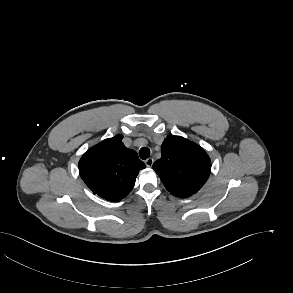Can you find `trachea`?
Returning a JSON list of instances; mask_svg holds the SVG:
<instances>
[{
	"mask_svg": "<svg viewBox=\"0 0 293 293\" xmlns=\"http://www.w3.org/2000/svg\"><path fill=\"white\" fill-rule=\"evenodd\" d=\"M139 156L141 159L145 160L150 156V150L147 147H143L139 151Z\"/></svg>",
	"mask_w": 293,
	"mask_h": 293,
	"instance_id": "3493384b",
	"label": "trachea"
}]
</instances>
